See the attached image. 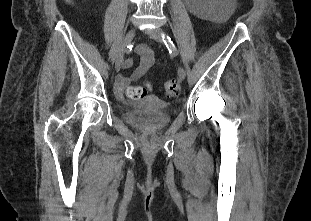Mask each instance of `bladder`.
Returning <instances> with one entry per match:
<instances>
[{
  "mask_svg": "<svg viewBox=\"0 0 311 221\" xmlns=\"http://www.w3.org/2000/svg\"><path fill=\"white\" fill-rule=\"evenodd\" d=\"M126 104L129 111L124 121L143 134L163 131L170 123L168 112L171 105L153 95H148L147 98L143 97L135 103L126 102Z\"/></svg>",
  "mask_w": 311,
  "mask_h": 221,
  "instance_id": "obj_1",
  "label": "bladder"
}]
</instances>
